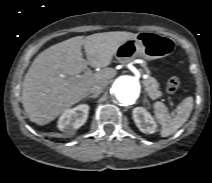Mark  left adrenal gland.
Here are the masks:
<instances>
[{
  "mask_svg": "<svg viewBox=\"0 0 212 183\" xmlns=\"http://www.w3.org/2000/svg\"><path fill=\"white\" fill-rule=\"evenodd\" d=\"M143 102H144V103H149V102H148V99H147L146 97H144Z\"/></svg>",
  "mask_w": 212,
  "mask_h": 183,
  "instance_id": "1",
  "label": "left adrenal gland"
}]
</instances>
